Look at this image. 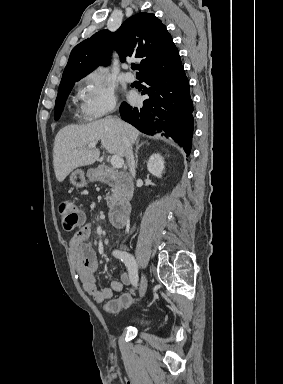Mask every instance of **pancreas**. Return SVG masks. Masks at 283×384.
<instances>
[{
	"label": "pancreas",
	"mask_w": 283,
	"mask_h": 384,
	"mask_svg": "<svg viewBox=\"0 0 283 384\" xmlns=\"http://www.w3.org/2000/svg\"><path fill=\"white\" fill-rule=\"evenodd\" d=\"M101 168H106V166H101ZM107 170V176H116L115 170H112V168H106ZM121 198V188L120 186H111V194H107L106 200H107V206L112 210L116 204H119Z\"/></svg>",
	"instance_id": "1"
}]
</instances>
